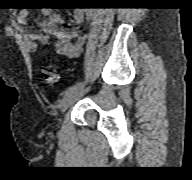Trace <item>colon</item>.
<instances>
[{"label":"colon","instance_id":"colon-1","mask_svg":"<svg viewBox=\"0 0 192 180\" xmlns=\"http://www.w3.org/2000/svg\"><path fill=\"white\" fill-rule=\"evenodd\" d=\"M43 79L47 85H55L59 82V73L51 66L42 69Z\"/></svg>","mask_w":192,"mask_h":180}]
</instances>
